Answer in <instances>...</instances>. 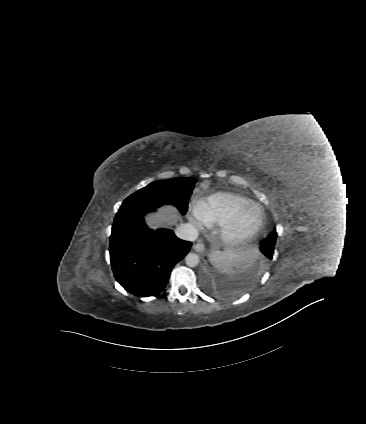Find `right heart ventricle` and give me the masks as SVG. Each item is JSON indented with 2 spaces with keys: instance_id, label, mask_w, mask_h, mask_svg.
I'll return each instance as SVG.
<instances>
[{
  "instance_id": "e07e8e85",
  "label": "right heart ventricle",
  "mask_w": 366,
  "mask_h": 424,
  "mask_svg": "<svg viewBox=\"0 0 366 424\" xmlns=\"http://www.w3.org/2000/svg\"><path fill=\"white\" fill-rule=\"evenodd\" d=\"M252 203L247 197L231 193L217 192L206 197L198 210L200 219L211 226H221L242 206Z\"/></svg>"
}]
</instances>
